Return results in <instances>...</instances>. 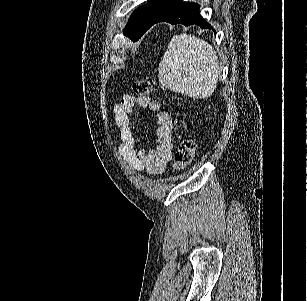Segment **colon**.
Returning a JSON list of instances; mask_svg holds the SVG:
<instances>
[{"instance_id": "1", "label": "colon", "mask_w": 307, "mask_h": 301, "mask_svg": "<svg viewBox=\"0 0 307 301\" xmlns=\"http://www.w3.org/2000/svg\"><path fill=\"white\" fill-rule=\"evenodd\" d=\"M133 91L138 96H149L153 94L154 87L148 80L140 79L133 83ZM195 143L190 138L182 139L176 147L173 157V167L176 170H183L194 159Z\"/></svg>"}]
</instances>
